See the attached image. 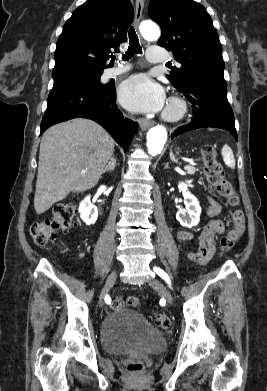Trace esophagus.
<instances>
[{"mask_svg": "<svg viewBox=\"0 0 267 391\" xmlns=\"http://www.w3.org/2000/svg\"><path fill=\"white\" fill-rule=\"evenodd\" d=\"M144 8V0H136L135 2V27L138 29L139 23L142 18ZM139 124L142 130H146L149 127L154 125V121H150L147 119H140Z\"/></svg>", "mask_w": 267, "mask_h": 391, "instance_id": "esophagus-1", "label": "esophagus"}]
</instances>
